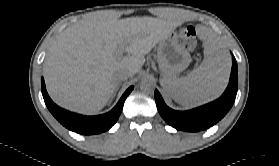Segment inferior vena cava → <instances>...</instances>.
I'll return each instance as SVG.
<instances>
[{
    "label": "inferior vena cava",
    "mask_w": 279,
    "mask_h": 166,
    "mask_svg": "<svg viewBox=\"0 0 279 166\" xmlns=\"http://www.w3.org/2000/svg\"><path fill=\"white\" fill-rule=\"evenodd\" d=\"M135 70L131 67H124L116 71L114 77L117 82H122L129 77L133 76Z\"/></svg>",
    "instance_id": "1"
}]
</instances>
